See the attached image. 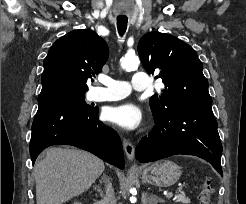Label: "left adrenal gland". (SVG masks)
<instances>
[{"label":"left adrenal gland","instance_id":"obj_1","mask_svg":"<svg viewBox=\"0 0 246 204\" xmlns=\"http://www.w3.org/2000/svg\"><path fill=\"white\" fill-rule=\"evenodd\" d=\"M157 202H163V199L154 195V199H153L152 203H157ZM145 204H147V201L145 202ZM148 204H150V203H148Z\"/></svg>","mask_w":246,"mask_h":204}]
</instances>
